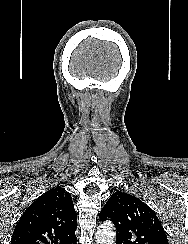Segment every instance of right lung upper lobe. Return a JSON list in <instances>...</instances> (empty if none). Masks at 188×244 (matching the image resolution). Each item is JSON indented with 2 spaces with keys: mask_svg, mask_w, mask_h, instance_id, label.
Returning a JSON list of instances; mask_svg holds the SVG:
<instances>
[{
  "mask_svg": "<svg viewBox=\"0 0 188 244\" xmlns=\"http://www.w3.org/2000/svg\"><path fill=\"white\" fill-rule=\"evenodd\" d=\"M76 228L77 216L70 194L53 187L25 210L11 244H74Z\"/></svg>",
  "mask_w": 188,
  "mask_h": 244,
  "instance_id": "obj_1",
  "label": "right lung upper lobe"
}]
</instances>
